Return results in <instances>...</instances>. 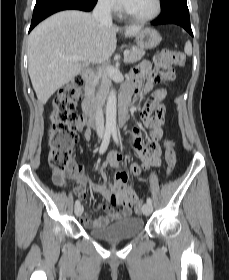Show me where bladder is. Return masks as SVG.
Listing matches in <instances>:
<instances>
[{
	"label": "bladder",
	"instance_id": "obj_1",
	"mask_svg": "<svg viewBox=\"0 0 229 280\" xmlns=\"http://www.w3.org/2000/svg\"><path fill=\"white\" fill-rule=\"evenodd\" d=\"M144 226L145 222L143 219L128 216L120 218L107 226H86V229L95 238L114 241L135 238L142 233Z\"/></svg>",
	"mask_w": 229,
	"mask_h": 280
}]
</instances>
